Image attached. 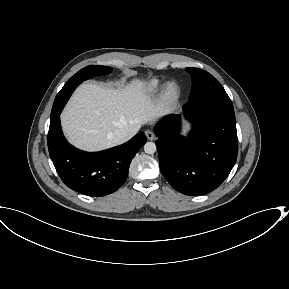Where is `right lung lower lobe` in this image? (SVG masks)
Wrapping results in <instances>:
<instances>
[{
	"label": "right lung lower lobe",
	"mask_w": 289,
	"mask_h": 289,
	"mask_svg": "<svg viewBox=\"0 0 289 289\" xmlns=\"http://www.w3.org/2000/svg\"><path fill=\"white\" fill-rule=\"evenodd\" d=\"M80 81L65 85L63 96L50 119L48 149L62 181L72 190L89 196L115 192L126 181L131 160L146 143L143 132L128 142L100 152H84L70 145L63 136L60 113Z\"/></svg>",
	"instance_id": "1"
}]
</instances>
